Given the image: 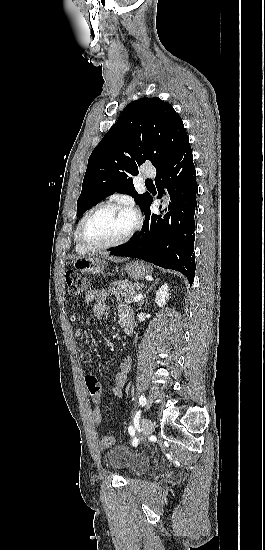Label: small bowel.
Segmentation results:
<instances>
[{
  "instance_id": "1",
  "label": "small bowel",
  "mask_w": 265,
  "mask_h": 550,
  "mask_svg": "<svg viewBox=\"0 0 265 550\" xmlns=\"http://www.w3.org/2000/svg\"><path fill=\"white\" fill-rule=\"evenodd\" d=\"M107 292L105 290H91L88 292L84 298V302L89 304L93 303V315L95 318H101L104 316L107 310ZM118 316H119V325L123 332L126 335H132L133 334V310L131 307H129L127 304L120 303L117 307ZM82 332L81 329L78 328L75 331V338L79 340L81 338ZM78 347L84 352L85 356L89 359L93 358L94 354L93 351L86 348L81 342H77ZM131 367V359L129 357H124L119 365L118 371L115 375V381L114 385L112 387V394L119 398L123 395V388L124 384L127 378V375L130 371ZM102 419V417H101ZM101 419L96 421V423H100Z\"/></svg>"
}]
</instances>
